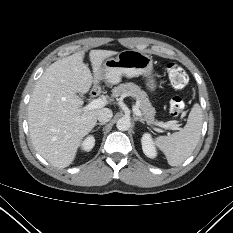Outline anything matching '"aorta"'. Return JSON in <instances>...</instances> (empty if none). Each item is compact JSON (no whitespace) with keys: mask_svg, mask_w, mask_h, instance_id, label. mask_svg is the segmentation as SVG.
<instances>
[{"mask_svg":"<svg viewBox=\"0 0 233 233\" xmlns=\"http://www.w3.org/2000/svg\"><path fill=\"white\" fill-rule=\"evenodd\" d=\"M130 125H131V122L126 117L120 118L116 123L117 129L120 130V131L128 130L130 128Z\"/></svg>","mask_w":233,"mask_h":233,"instance_id":"obj_1","label":"aorta"}]
</instances>
